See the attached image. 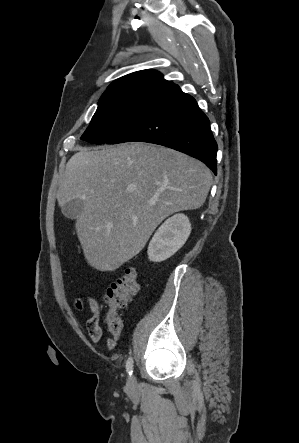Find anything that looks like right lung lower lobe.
<instances>
[{
    "instance_id": "obj_1",
    "label": "right lung lower lobe",
    "mask_w": 299,
    "mask_h": 443,
    "mask_svg": "<svg viewBox=\"0 0 299 443\" xmlns=\"http://www.w3.org/2000/svg\"><path fill=\"white\" fill-rule=\"evenodd\" d=\"M148 142L186 153L216 174L217 144L207 116L178 85L168 88L124 132L107 144Z\"/></svg>"
}]
</instances>
